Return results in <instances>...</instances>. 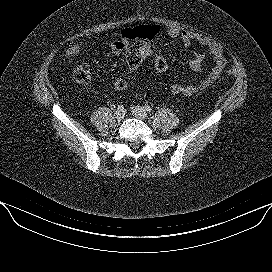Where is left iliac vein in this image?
Instances as JSON below:
<instances>
[{
	"instance_id": "left-iliac-vein-1",
	"label": "left iliac vein",
	"mask_w": 272,
	"mask_h": 272,
	"mask_svg": "<svg viewBox=\"0 0 272 272\" xmlns=\"http://www.w3.org/2000/svg\"><path fill=\"white\" fill-rule=\"evenodd\" d=\"M131 110L133 115L138 119L145 120L148 118L146 110L140 106H133Z\"/></svg>"
}]
</instances>
